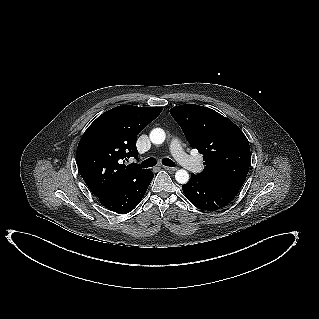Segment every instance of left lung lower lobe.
I'll use <instances>...</instances> for the list:
<instances>
[{
  "instance_id": "left-lung-lower-lobe-1",
  "label": "left lung lower lobe",
  "mask_w": 319,
  "mask_h": 319,
  "mask_svg": "<svg viewBox=\"0 0 319 319\" xmlns=\"http://www.w3.org/2000/svg\"><path fill=\"white\" fill-rule=\"evenodd\" d=\"M187 199L198 209L214 211L227 206L237 194L191 174L189 182L182 185Z\"/></svg>"
}]
</instances>
